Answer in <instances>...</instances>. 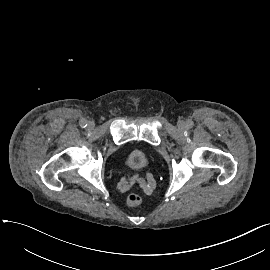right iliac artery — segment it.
Masks as SVG:
<instances>
[{
    "mask_svg": "<svg viewBox=\"0 0 270 270\" xmlns=\"http://www.w3.org/2000/svg\"><path fill=\"white\" fill-rule=\"evenodd\" d=\"M79 124H80V126H81L82 128H85V127L87 126V121H86V120H81V121L79 122Z\"/></svg>",
    "mask_w": 270,
    "mask_h": 270,
    "instance_id": "1",
    "label": "right iliac artery"
}]
</instances>
